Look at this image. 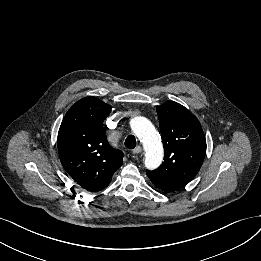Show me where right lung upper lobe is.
Masks as SVG:
<instances>
[{"instance_id": "cb5924a9", "label": "right lung upper lobe", "mask_w": 261, "mask_h": 261, "mask_svg": "<svg viewBox=\"0 0 261 261\" xmlns=\"http://www.w3.org/2000/svg\"><path fill=\"white\" fill-rule=\"evenodd\" d=\"M111 106L96 97L76 102L66 113L58 133V152L66 172L82 188H106L123 163L124 154L107 141L103 121Z\"/></svg>"}]
</instances>
